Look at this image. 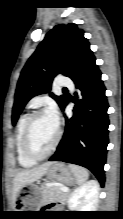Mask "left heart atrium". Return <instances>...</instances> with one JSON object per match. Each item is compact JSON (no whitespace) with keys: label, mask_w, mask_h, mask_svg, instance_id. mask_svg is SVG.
Returning a JSON list of instances; mask_svg holds the SVG:
<instances>
[{"label":"left heart atrium","mask_w":123,"mask_h":219,"mask_svg":"<svg viewBox=\"0 0 123 219\" xmlns=\"http://www.w3.org/2000/svg\"><path fill=\"white\" fill-rule=\"evenodd\" d=\"M48 114L52 117V119H53L56 123H58V121H59V116H58V112H57L55 106H51V107L49 108Z\"/></svg>","instance_id":"1"}]
</instances>
